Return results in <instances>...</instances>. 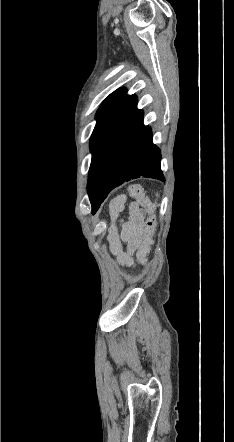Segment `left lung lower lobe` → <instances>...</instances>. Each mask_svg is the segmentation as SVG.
Here are the masks:
<instances>
[{
	"instance_id": "obj_1",
	"label": "left lung lower lobe",
	"mask_w": 234,
	"mask_h": 442,
	"mask_svg": "<svg viewBox=\"0 0 234 442\" xmlns=\"http://www.w3.org/2000/svg\"><path fill=\"white\" fill-rule=\"evenodd\" d=\"M90 149L88 194L93 212L125 181L140 176L164 181L160 150L152 142L150 127L143 124V111L137 109L135 95H125L97 125Z\"/></svg>"
}]
</instances>
